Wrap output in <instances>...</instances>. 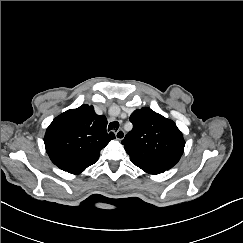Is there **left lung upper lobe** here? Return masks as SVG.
<instances>
[{"instance_id": "5c2ea615", "label": "left lung upper lobe", "mask_w": 243, "mask_h": 243, "mask_svg": "<svg viewBox=\"0 0 243 243\" xmlns=\"http://www.w3.org/2000/svg\"><path fill=\"white\" fill-rule=\"evenodd\" d=\"M133 129L122 140L132 162L172 168L184 151L185 141L176 124L150 108L135 110Z\"/></svg>"}]
</instances>
